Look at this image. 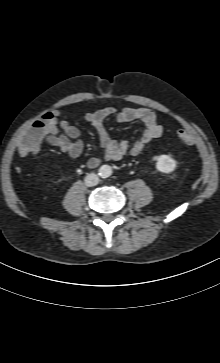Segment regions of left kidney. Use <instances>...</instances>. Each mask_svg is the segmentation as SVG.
<instances>
[{
  "label": "left kidney",
  "mask_w": 220,
  "mask_h": 363,
  "mask_svg": "<svg viewBox=\"0 0 220 363\" xmlns=\"http://www.w3.org/2000/svg\"><path fill=\"white\" fill-rule=\"evenodd\" d=\"M156 160V168L163 173H169L175 168V161L167 155H160L154 157Z\"/></svg>",
  "instance_id": "5707ae66"
}]
</instances>
